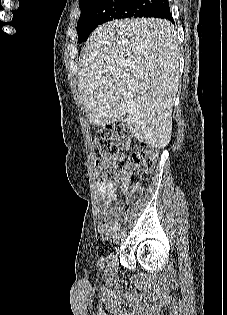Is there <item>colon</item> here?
<instances>
[{
	"instance_id": "colon-1",
	"label": "colon",
	"mask_w": 227,
	"mask_h": 315,
	"mask_svg": "<svg viewBox=\"0 0 227 315\" xmlns=\"http://www.w3.org/2000/svg\"><path fill=\"white\" fill-rule=\"evenodd\" d=\"M96 145L100 157L95 160L97 178L102 182L111 181L115 175L113 164L120 150L131 152L128 170L150 173L157 158V150L132 135L123 124L107 125L101 129Z\"/></svg>"
}]
</instances>
